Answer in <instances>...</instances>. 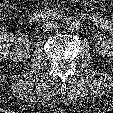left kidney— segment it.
<instances>
[{"label": "left kidney", "mask_w": 113, "mask_h": 113, "mask_svg": "<svg viewBox=\"0 0 113 113\" xmlns=\"http://www.w3.org/2000/svg\"><path fill=\"white\" fill-rule=\"evenodd\" d=\"M96 52L103 57L113 59V40L106 35H97L95 38Z\"/></svg>", "instance_id": "left-kidney-1"}]
</instances>
